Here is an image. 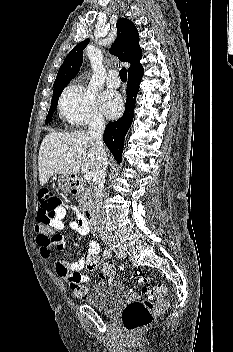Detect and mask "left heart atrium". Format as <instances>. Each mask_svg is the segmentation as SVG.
I'll return each instance as SVG.
<instances>
[{"mask_svg":"<svg viewBox=\"0 0 233 352\" xmlns=\"http://www.w3.org/2000/svg\"><path fill=\"white\" fill-rule=\"evenodd\" d=\"M100 105L109 117H116L122 109V100L118 93L106 91L100 97Z\"/></svg>","mask_w":233,"mask_h":352,"instance_id":"1","label":"left heart atrium"}]
</instances>
